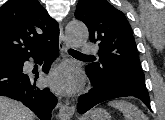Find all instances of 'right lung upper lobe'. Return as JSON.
<instances>
[{
  "mask_svg": "<svg viewBox=\"0 0 165 120\" xmlns=\"http://www.w3.org/2000/svg\"><path fill=\"white\" fill-rule=\"evenodd\" d=\"M59 27L38 0H9L0 7V64L44 50Z\"/></svg>",
  "mask_w": 165,
  "mask_h": 120,
  "instance_id": "1",
  "label": "right lung upper lobe"
}]
</instances>
